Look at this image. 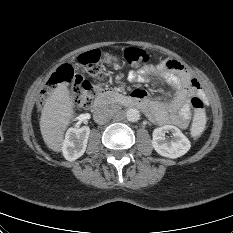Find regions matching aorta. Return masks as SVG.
<instances>
[{"mask_svg": "<svg viewBox=\"0 0 233 233\" xmlns=\"http://www.w3.org/2000/svg\"><path fill=\"white\" fill-rule=\"evenodd\" d=\"M126 118L130 122H137L140 119V112L136 108H130L126 111Z\"/></svg>", "mask_w": 233, "mask_h": 233, "instance_id": "762f6f07", "label": "aorta"}]
</instances>
